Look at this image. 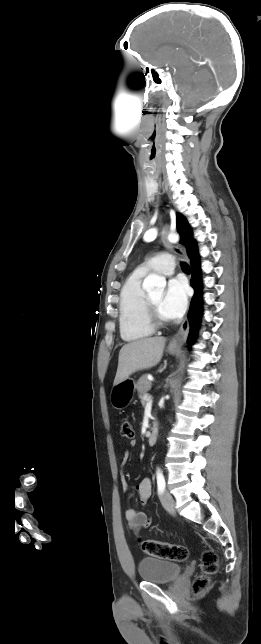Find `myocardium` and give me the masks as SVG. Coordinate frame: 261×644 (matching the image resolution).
Listing matches in <instances>:
<instances>
[{
    "mask_svg": "<svg viewBox=\"0 0 261 644\" xmlns=\"http://www.w3.org/2000/svg\"><path fill=\"white\" fill-rule=\"evenodd\" d=\"M146 314L153 328L164 327L168 324V319L160 316L149 295H146Z\"/></svg>",
    "mask_w": 261,
    "mask_h": 644,
    "instance_id": "1",
    "label": "myocardium"
}]
</instances>
